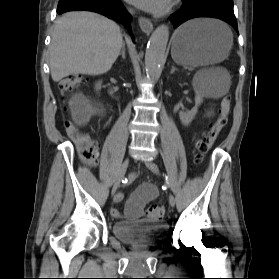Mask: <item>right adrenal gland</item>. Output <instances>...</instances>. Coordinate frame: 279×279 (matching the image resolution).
Here are the masks:
<instances>
[{"label": "right adrenal gland", "mask_w": 279, "mask_h": 279, "mask_svg": "<svg viewBox=\"0 0 279 279\" xmlns=\"http://www.w3.org/2000/svg\"><path fill=\"white\" fill-rule=\"evenodd\" d=\"M120 55L122 56V59H125V43H123V45H122V50H121Z\"/></svg>", "instance_id": "obj_1"}]
</instances>
